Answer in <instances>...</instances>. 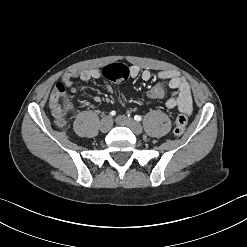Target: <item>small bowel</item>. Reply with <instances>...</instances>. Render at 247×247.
<instances>
[{
    "instance_id": "c3829d8e",
    "label": "small bowel",
    "mask_w": 247,
    "mask_h": 247,
    "mask_svg": "<svg viewBox=\"0 0 247 247\" xmlns=\"http://www.w3.org/2000/svg\"><path fill=\"white\" fill-rule=\"evenodd\" d=\"M101 72L98 69H75L65 73L59 83L63 84L70 90L71 93L76 94L77 89L73 85V79L78 78L82 81H90L98 79ZM130 76L132 78L140 77L143 81H148L152 77L149 70H141L138 66L130 67ZM158 78L162 81H167L169 87L174 91L172 95L167 98L165 105L169 109L178 108L184 114L190 115L192 112V95L191 89L185 78L176 70H164L158 73ZM156 86V85H155ZM110 90L111 87L107 85ZM95 102H100L99 96H94Z\"/></svg>"
}]
</instances>
